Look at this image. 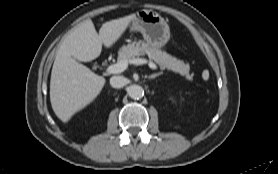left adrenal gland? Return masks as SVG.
I'll return each instance as SVG.
<instances>
[{
    "label": "left adrenal gland",
    "instance_id": "obj_1",
    "mask_svg": "<svg viewBox=\"0 0 278 174\" xmlns=\"http://www.w3.org/2000/svg\"><path fill=\"white\" fill-rule=\"evenodd\" d=\"M161 74H162L161 72H158V73L152 74V75L148 76V79H154V78H156V77L160 76Z\"/></svg>",
    "mask_w": 278,
    "mask_h": 174
}]
</instances>
